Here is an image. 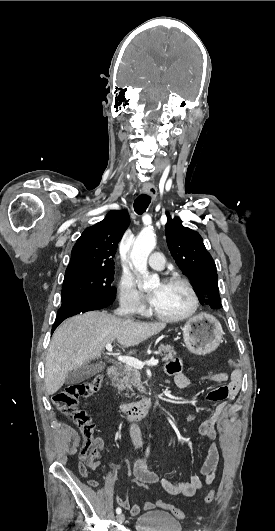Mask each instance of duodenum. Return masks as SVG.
<instances>
[{
    "label": "duodenum",
    "mask_w": 275,
    "mask_h": 531,
    "mask_svg": "<svg viewBox=\"0 0 275 531\" xmlns=\"http://www.w3.org/2000/svg\"><path fill=\"white\" fill-rule=\"evenodd\" d=\"M116 372V365H110L106 369V375L108 377H114ZM153 405V400L150 397H147L134 403L120 404L119 410L124 417L133 419L144 416Z\"/></svg>",
    "instance_id": "duodenum-1"
}]
</instances>
